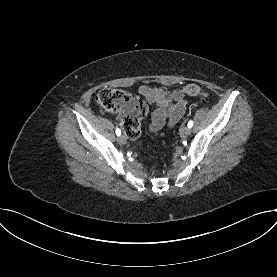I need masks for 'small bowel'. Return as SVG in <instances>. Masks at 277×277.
<instances>
[{
  "mask_svg": "<svg viewBox=\"0 0 277 277\" xmlns=\"http://www.w3.org/2000/svg\"><path fill=\"white\" fill-rule=\"evenodd\" d=\"M139 93L154 106L149 125L151 132L174 126L186 111L187 101L181 89L170 91L164 87L141 85Z\"/></svg>",
  "mask_w": 277,
  "mask_h": 277,
  "instance_id": "c3829d8e",
  "label": "small bowel"
}]
</instances>
